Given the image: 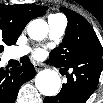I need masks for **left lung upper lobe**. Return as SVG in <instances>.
Masks as SVG:
<instances>
[{
    "label": "left lung upper lobe",
    "mask_w": 103,
    "mask_h": 103,
    "mask_svg": "<svg viewBox=\"0 0 103 103\" xmlns=\"http://www.w3.org/2000/svg\"><path fill=\"white\" fill-rule=\"evenodd\" d=\"M68 19L63 42L50 53L49 62L60 68H69L91 52L103 53V47L92 26L78 13L61 7Z\"/></svg>",
    "instance_id": "obj_1"
}]
</instances>
